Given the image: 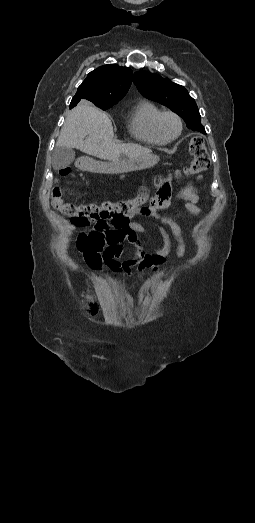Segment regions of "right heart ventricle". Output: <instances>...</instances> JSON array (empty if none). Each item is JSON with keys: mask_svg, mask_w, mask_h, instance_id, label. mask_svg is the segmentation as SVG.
<instances>
[{"mask_svg": "<svg viewBox=\"0 0 255 523\" xmlns=\"http://www.w3.org/2000/svg\"><path fill=\"white\" fill-rule=\"evenodd\" d=\"M162 109L152 100L140 101L132 114L129 131L133 138L148 144H164L155 129V120Z\"/></svg>", "mask_w": 255, "mask_h": 523, "instance_id": "right-heart-ventricle-1", "label": "right heart ventricle"}]
</instances>
